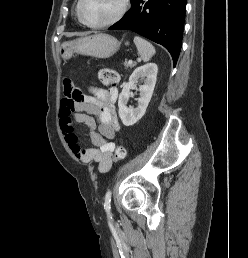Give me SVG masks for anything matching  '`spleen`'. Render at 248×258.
Here are the masks:
<instances>
[{
  "instance_id": "spleen-1",
  "label": "spleen",
  "mask_w": 248,
  "mask_h": 258,
  "mask_svg": "<svg viewBox=\"0 0 248 258\" xmlns=\"http://www.w3.org/2000/svg\"><path fill=\"white\" fill-rule=\"evenodd\" d=\"M134 43L144 62L149 61L156 52L154 46L150 42L139 36L134 37Z\"/></svg>"
}]
</instances>
